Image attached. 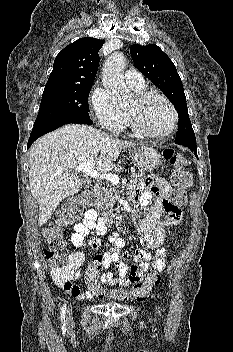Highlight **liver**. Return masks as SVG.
I'll return each instance as SVG.
<instances>
[{
    "label": "liver",
    "mask_w": 233,
    "mask_h": 352,
    "mask_svg": "<svg viewBox=\"0 0 233 352\" xmlns=\"http://www.w3.org/2000/svg\"><path fill=\"white\" fill-rule=\"evenodd\" d=\"M135 145L79 124L63 126L36 141L29 151V183L39 204L38 225L51 218L62 200L80 191L83 182L72 173L79 164L93 161L98 172L106 173L115 167L123 148Z\"/></svg>",
    "instance_id": "obj_1"
}]
</instances>
